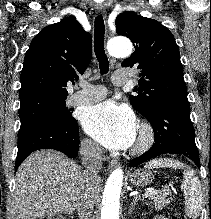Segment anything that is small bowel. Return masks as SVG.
<instances>
[{
	"instance_id": "obj_1",
	"label": "small bowel",
	"mask_w": 211,
	"mask_h": 219,
	"mask_svg": "<svg viewBox=\"0 0 211 219\" xmlns=\"http://www.w3.org/2000/svg\"><path fill=\"white\" fill-rule=\"evenodd\" d=\"M155 219H165V218L163 216H159V217H157Z\"/></svg>"
}]
</instances>
